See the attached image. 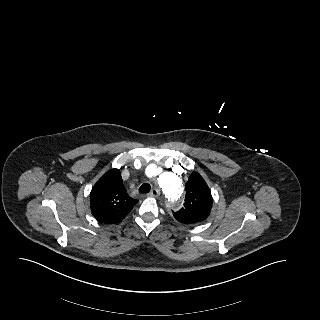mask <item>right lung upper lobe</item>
Returning a JSON list of instances; mask_svg holds the SVG:
<instances>
[{
	"label": "right lung upper lobe",
	"mask_w": 320,
	"mask_h": 320,
	"mask_svg": "<svg viewBox=\"0 0 320 320\" xmlns=\"http://www.w3.org/2000/svg\"><path fill=\"white\" fill-rule=\"evenodd\" d=\"M137 202L127 194L120 171L116 168L105 173L90 193L91 212L99 222L105 224L121 221Z\"/></svg>",
	"instance_id": "1"
}]
</instances>
